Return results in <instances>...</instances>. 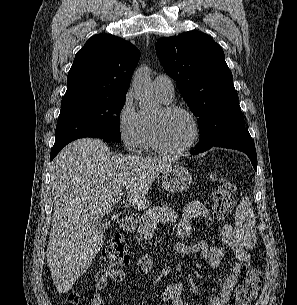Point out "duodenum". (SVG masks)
Listing matches in <instances>:
<instances>
[{"instance_id": "duodenum-1", "label": "duodenum", "mask_w": 297, "mask_h": 305, "mask_svg": "<svg viewBox=\"0 0 297 305\" xmlns=\"http://www.w3.org/2000/svg\"><path fill=\"white\" fill-rule=\"evenodd\" d=\"M135 220L132 216L130 215H124L120 218L119 220V227L124 231V232H130L135 228Z\"/></svg>"}]
</instances>
